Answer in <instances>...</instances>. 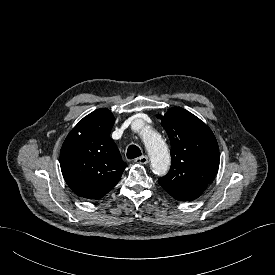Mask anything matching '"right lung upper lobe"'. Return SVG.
<instances>
[{"mask_svg": "<svg viewBox=\"0 0 275 275\" xmlns=\"http://www.w3.org/2000/svg\"><path fill=\"white\" fill-rule=\"evenodd\" d=\"M114 121L110 110L97 109L71 130L62 145L63 177L71 190L81 197L102 198L119 182L127 167L110 138Z\"/></svg>", "mask_w": 275, "mask_h": 275, "instance_id": "obj_1", "label": "right lung upper lobe"}]
</instances>
